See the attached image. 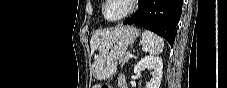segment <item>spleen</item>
<instances>
[{"label": "spleen", "mask_w": 227, "mask_h": 88, "mask_svg": "<svg viewBox=\"0 0 227 88\" xmlns=\"http://www.w3.org/2000/svg\"><path fill=\"white\" fill-rule=\"evenodd\" d=\"M142 50L149 54H159L163 51L164 41L155 33L145 30L141 37Z\"/></svg>", "instance_id": "1"}]
</instances>
